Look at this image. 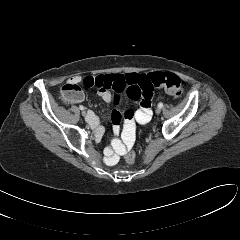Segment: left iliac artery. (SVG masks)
Instances as JSON below:
<instances>
[{"label": "left iliac artery", "mask_w": 240, "mask_h": 240, "mask_svg": "<svg viewBox=\"0 0 240 240\" xmlns=\"http://www.w3.org/2000/svg\"><path fill=\"white\" fill-rule=\"evenodd\" d=\"M162 107H163V103L160 102V103L158 104V108H162Z\"/></svg>", "instance_id": "1"}]
</instances>
